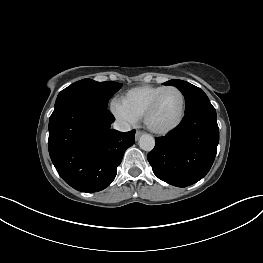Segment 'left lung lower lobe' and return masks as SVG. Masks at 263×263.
<instances>
[{
	"instance_id": "obj_1",
	"label": "left lung lower lobe",
	"mask_w": 263,
	"mask_h": 263,
	"mask_svg": "<svg viewBox=\"0 0 263 263\" xmlns=\"http://www.w3.org/2000/svg\"><path fill=\"white\" fill-rule=\"evenodd\" d=\"M219 128L215 108L205 103L185 112L181 124L165 137L156 138L147 158L162 181L186 187L210 170L217 152Z\"/></svg>"
}]
</instances>
